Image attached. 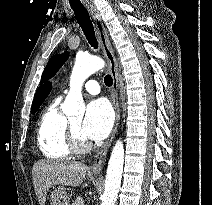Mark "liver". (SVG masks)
Wrapping results in <instances>:
<instances>
[{
	"instance_id": "obj_1",
	"label": "liver",
	"mask_w": 212,
	"mask_h": 205,
	"mask_svg": "<svg viewBox=\"0 0 212 205\" xmlns=\"http://www.w3.org/2000/svg\"><path fill=\"white\" fill-rule=\"evenodd\" d=\"M88 166L79 162L40 160L33 167V182L40 205H45L53 185L78 187L85 179Z\"/></svg>"
}]
</instances>
